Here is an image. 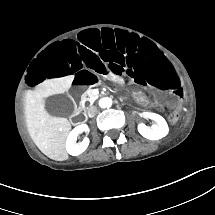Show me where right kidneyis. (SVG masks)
I'll return each instance as SVG.
<instances>
[{
	"mask_svg": "<svg viewBox=\"0 0 215 215\" xmlns=\"http://www.w3.org/2000/svg\"><path fill=\"white\" fill-rule=\"evenodd\" d=\"M77 127H79L78 132L72 130L66 141V150L72 156H77L83 153L89 145V138L87 137L84 138L81 143H76L77 136L79 133H82L84 131L89 132V128L86 124H81Z\"/></svg>",
	"mask_w": 215,
	"mask_h": 215,
	"instance_id": "1",
	"label": "right kidney"
}]
</instances>
